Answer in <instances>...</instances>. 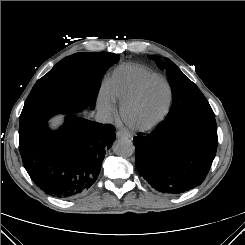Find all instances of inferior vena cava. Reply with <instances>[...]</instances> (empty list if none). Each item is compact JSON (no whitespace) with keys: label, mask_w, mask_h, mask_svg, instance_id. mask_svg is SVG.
I'll list each match as a JSON object with an SVG mask.
<instances>
[{"label":"inferior vena cava","mask_w":245,"mask_h":245,"mask_svg":"<svg viewBox=\"0 0 245 245\" xmlns=\"http://www.w3.org/2000/svg\"><path fill=\"white\" fill-rule=\"evenodd\" d=\"M95 120L99 123L106 124L112 122V117L110 114L106 112H97L95 116Z\"/></svg>","instance_id":"inferior-vena-cava-1"}]
</instances>
